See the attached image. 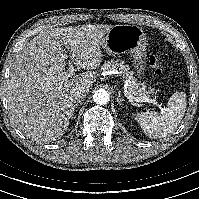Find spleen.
Listing matches in <instances>:
<instances>
[{
  "mask_svg": "<svg viewBox=\"0 0 199 199\" xmlns=\"http://www.w3.org/2000/svg\"><path fill=\"white\" fill-rule=\"evenodd\" d=\"M186 105V94L176 92L169 99L164 111L140 112L136 120L150 138H162L176 130L185 114Z\"/></svg>",
  "mask_w": 199,
  "mask_h": 199,
  "instance_id": "3e777b00",
  "label": "spleen"
}]
</instances>
